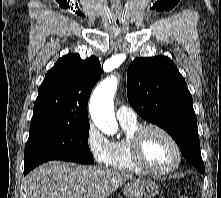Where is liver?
<instances>
[{"label":"liver","instance_id":"liver-1","mask_svg":"<svg viewBox=\"0 0 221 198\" xmlns=\"http://www.w3.org/2000/svg\"><path fill=\"white\" fill-rule=\"evenodd\" d=\"M129 180L126 172L50 161L27 175V198H107Z\"/></svg>","mask_w":221,"mask_h":198}]
</instances>
